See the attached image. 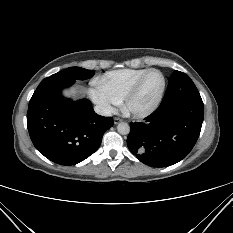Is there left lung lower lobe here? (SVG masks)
<instances>
[{
	"instance_id": "left-lung-lower-lobe-1",
	"label": "left lung lower lobe",
	"mask_w": 233,
	"mask_h": 233,
	"mask_svg": "<svg viewBox=\"0 0 233 233\" xmlns=\"http://www.w3.org/2000/svg\"><path fill=\"white\" fill-rule=\"evenodd\" d=\"M203 117L204 105L193 81L175 71L158 109L144 122L130 123L128 148L146 165H173L194 147Z\"/></svg>"
}]
</instances>
